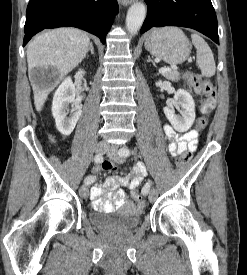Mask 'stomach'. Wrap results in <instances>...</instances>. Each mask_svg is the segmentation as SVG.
I'll return each instance as SVG.
<instances>
[{
    "instance_id": "stomach-1",
    "label": "stomach",
    "mask_w": 247,
    "mask_h": 275,
    "mask_svg": "<svg viewBox=\"0 0 247 275\" xmlns=\"http://www.w3.org/2000/svg\"><path fill=\"white\" fill-rule=\"evenodd\" d=\"M145 47L151 55L171 65L184 62L191 51L188 38L177 27H165L153 31L147 37Z\"/></svg>"
}]
</instances>
